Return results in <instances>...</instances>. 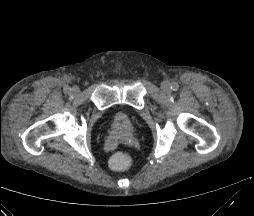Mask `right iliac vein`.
<instances>
[{
  "label": "right iliac vein",
  "mask_w": 254,
  "mask_h": 216,
  "mask_svg": "<svg viewBox=\"0 0 254 216\" xmlns=\"http://www.w3.org/2000/svg\"><path fill=\"white\" fill-rule=\"evenodd\" d=\"M80 92V89L77 87V86H74L72 89H71V93L72 95L74 96H77Z\"/></svg>",
  "instance_id": "obj_1"
}]
</instances>
